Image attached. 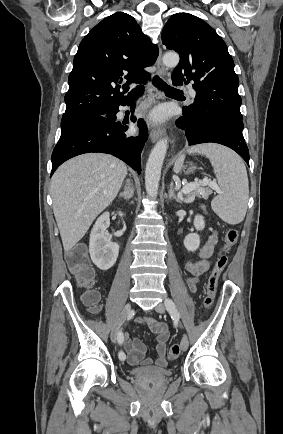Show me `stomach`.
I'll return each instance as SVG.
<instances>
[{"label":"stomach","instance_id":"stomach-1","mask_svg":"<svg viewBox=\"0 0 283 434\" xmlns=\"http://www.w3.org/2000/svg\"><path fill=\"white\" fill-rule=\"evenodd\" d=\"M193 169H194V167H190V168L186 171V173H191V172L193 171Z\"/></svg>","mask_w":283,"mask_h":434}]
</instances>
